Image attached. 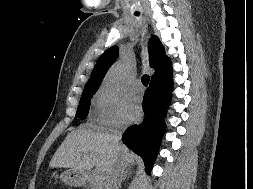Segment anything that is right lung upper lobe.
Here are the masks:
<instances>
[{
  "mask_svg": "<svg viewBox=\"0 0 253 189\" xmlns=\"http://www.w3.org/2000/svg\"><path fill=\"white\" fill-rule=\"evenodd\" d=\"M118 51L117 46H112L102 54L85 85L84 91L97 90L99 88L106 72L116 61ZM149 55L150 66L155 70L152 79L166 76L172 72L171 61L165 55L164 47L156 36H152L149 41Z\"/></svg>",
  "mask_w": 253,
  "mask_h": 189,
  "instance_id": "1",
  "label": "right lung upper lobe"
}]
</instances>
